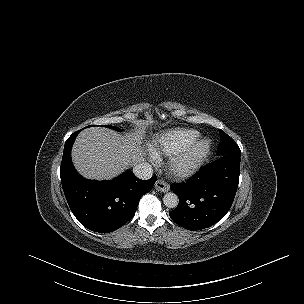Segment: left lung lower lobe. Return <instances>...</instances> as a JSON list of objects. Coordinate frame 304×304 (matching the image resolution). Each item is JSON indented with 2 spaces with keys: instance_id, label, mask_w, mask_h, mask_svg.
Here are the masks:
<instances>
[{
  "instance_id": "obj_1",
  "label": "left lung lower lobe",
  "mask_w": 304,
  "mask_h": 304,
  "mask_svg": "<svg viewBox=\"0 0 304 304\" xmlns=\"http://www.w3.org/2000/svg\"><path fill=\"white\" fill-rule=\"evenodd\" d=\"M241 152H230L204 166L187 182L173 184L178 206L169 213L179 226L200 230L220 221L229 211L239 183Z\"/></svg>"
}]
</instances>
